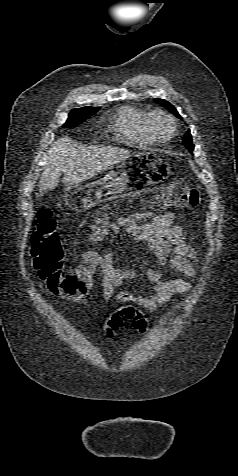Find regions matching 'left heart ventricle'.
<instances>
[{
	"label": "left heart ventricle",
	"instance_id": "left-heart-ventricle-1",
	"mask_svg": "<svg viewBox=\"0 0 238 476\" xmlns=\"http://www.w3.org/2000/svg\"><path fill=\"white\" fill-rule=\"evenodd\" d=\"M156 130L161 137H167L170 135L172 126L171 123L163 118L156 121Z\"/></svg>",
	"mask_w": 238,
	"mask_h": 476
}]
</instances>
